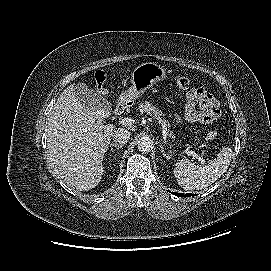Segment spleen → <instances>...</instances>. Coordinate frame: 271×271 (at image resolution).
<instances>
[{
  "instance_id": "obj_1",
  "label": "spleen",
  "mask_w": 271,
  "mask_h": 271,
  "mask_svg": "<svg viewBox=\"0 0 271 271\" xmlns=\"http://www.w3.org/2000/svg\"><path fill=\"white\" fill-rule=\"evenodd\" d=\"M233 157L230 148H224L214 161L206 166L195 165L188 159L175 164L174 176L185 190H201L218 180L228 169Z\"/></svg>"
}]
</instances>
